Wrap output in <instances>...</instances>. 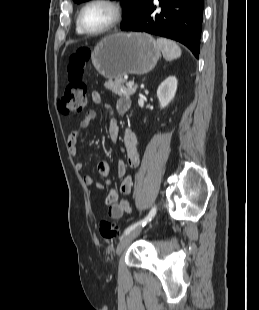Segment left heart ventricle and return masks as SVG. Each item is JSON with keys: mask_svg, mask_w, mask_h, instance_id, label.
Listing matches in <instances>:
<instances>
[{"mask_svg": "<svg viewBox=\"0 0 259 310\" xmlns=\"http://www.w3.org/2000/svg\"><path fill=\"white\" fill-rule=\"evenodd\" d=\"M113 12L106 5L95 4L88 7L83 15L84 26L89 30H99L105 27L112 19Z\"/></svg>", "mask_w": 259, "mask_h": 310, "instance_id": "b2bd125f", "label": "left heart ventricle"}]
</instances>
